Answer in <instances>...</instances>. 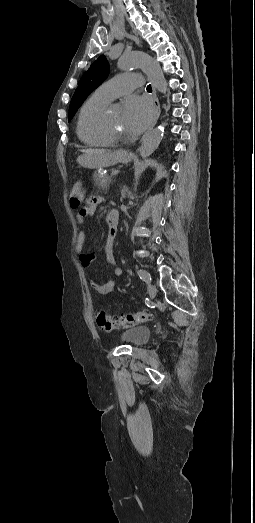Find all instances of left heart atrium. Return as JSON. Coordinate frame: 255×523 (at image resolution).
I'll return each mask as SVG.
<instances>
[{
    "mask_svg": "<svg viewBox=\"0 0 255 523\" xmlns=\"http://www.w3.org/2000/svg\"><path fill=\"white\" fill-rule=\"evenodd\" d=\"M124 115L132 134L140 133L153 116V106L146 97L131 96L126 100Z\"/></svg>",
    "mask_w": 255,
    "mask_h": 523,
    "instance_id": "left-heart-atrium-1",
    "label": "left heart atrium"
}]
</instances>
